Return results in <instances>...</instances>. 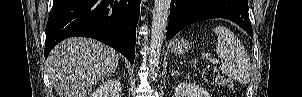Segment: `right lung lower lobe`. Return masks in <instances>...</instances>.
<instances>
[{
	"label": "right lung lower lobe",
	"mask_w": 302,
	"mask_h": 97,
	"mask_svg": "<svg viewBox=\"0 0 302 97\" xmlns=\"http://www.w3.org/2000/svg\"><path fill=\"white\" fill-rule=\"evenodd\" d=\"M140 1L53 0L46 27L45 58L63 39L82 36L108 44L133 64Z\"/></svg>",
	"instance_id": "98d812e1"
}]
</instances>
